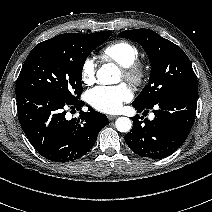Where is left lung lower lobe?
<instances>
[{"label":"left lung lower lobe","mask_w":212,"mask_h":212,"mask_svg":"<svg viewBox=\"0 0 212 212\" xmlns=\"http://www.w3.org/2000/svg\"><path fill=\"white\" fill-rule=\"evenodd\" d=\"M198 87L178 90L149 106L132 104L140 113L153 107L154 120L133 117V128L125 136L130 149L142 157L162 159L173 154L187 138L194 123Z\"/></svg>","instance_id":"obj_1"}]
</instances>
